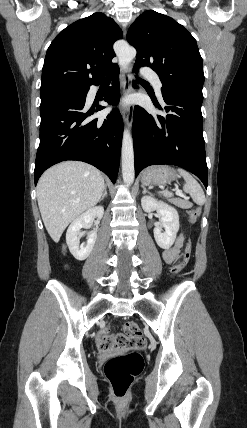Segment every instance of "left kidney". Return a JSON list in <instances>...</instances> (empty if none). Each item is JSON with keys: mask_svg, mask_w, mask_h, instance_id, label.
I'll use <instances>...</instances> for the list:
<instances>
[{"mask_svg": "<svg viewBox=\"0 0 247 428\" xmlns=\"http://www.w3.org/2000/svg\"><path fill=\"white\" fill-rule=\"evenodd\" d=\"M141 205L145 212L157 211L159 226L154 228V238L159 247L169 249L173 245L179 231L180 225L177 210L163 201L156 200L152 196H143Z\"/></svg>", "mask_w": 247, "mask_h": 428, "instance_id": "5707ae66", "label": "left kidney"}]
</instances>
